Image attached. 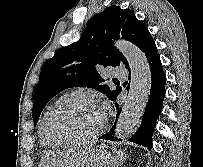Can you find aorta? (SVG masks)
Wrapping results in <instances>:
<instances>
[{"instance_id":"aorta-1","label":"aorta","mask_w":203,"mask_h":167,"mask_svg":"<svg viewBox=\"0 0 203 167\" xmlns=\"http://www.w3.org/2000/svg\"><path fill=\"white\" fill-rule=\"evenodd\" d=\"M115 46L125 56L131 70L129 94L115 129L117 138H126L138 124L148 101L151 89V71L145 54L134 44L118 40Z\"/></svg>"}]
</instances>
